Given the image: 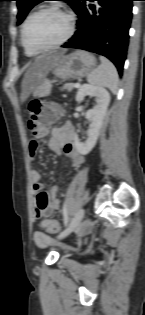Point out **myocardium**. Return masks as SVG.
Masks as SVG:
<instances>
[{"instance_id": "f54148a6", "label": "myocardium", "mask_w": 145, "mask_h": 315, "mask_svg": "<svg viewBox=\"0 0 145 315\" xmlns=\"http://www.w3.org/2000/svg\"><path fill=\"white\" fill-rule=\"evenodd\" d=\"M44 12H55L61 16H63L67 22V31L64 34V36L62 38H60L58 41L51 43L49 45L46 46H36V45H32L28 42L27 38H26V30H27V26L28 23L30 22V20L35 17L38 14L44 13ZM74 29H75V18L73 16L72 13H70L69 11L62 9L60 7H57L55 5H48L42 8H39L38 10L32 12L24 21L23 25H22V29H21V39L23 44L33 50V51H37V52H43V51H48L54 48H57L61 45H63L64 43H66L73 35L74 33Z\"/></svg>"}]
</instances>
